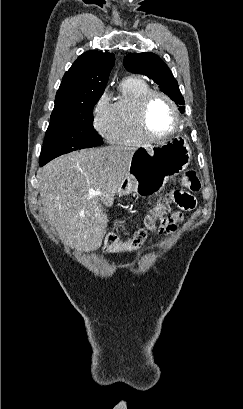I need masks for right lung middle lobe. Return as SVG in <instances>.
Listing matches in <instances>:
<instances>
[{
	"mask_svg": "<svg viewBox=\"0 0 243 409\" xmlns=\"http://www.w3.org/2000/svg\"><path fill=\"white\" fill-rule=\"evenodd\" d=\"M96 103L55 104L43 148H89L103 144L92 124Z\"/></svg>",
	"mask_w": 243,
	"mask_h": 409,
	"instance_id": "obj_1",
	"label": "right lung middle lobe"
}]
</instances>
